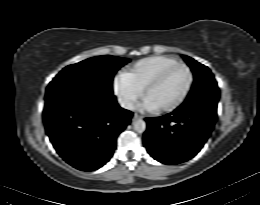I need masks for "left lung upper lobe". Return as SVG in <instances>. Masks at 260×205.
<instances>
[{
    "label": "left lung upper lobe",
    "instance_id": "obj_1",
    "mask_svg": "<svg viewBox=\"0 0 260 205\" xmlns=\"http://www.w3.org/2000/svg\"><path fill=\"white\" fill-rule=\"evenodd\" d=\"M194 74V83L190 93L179 109L201 107L216 114L219 99V89L213 74L208 67L194 59L183 56Z\"/></svg>",
    "mask_w": 260,
    "mask_h": 205
}]
</instances>
